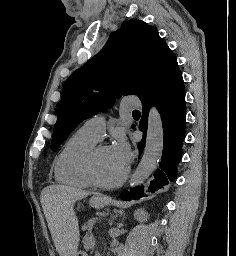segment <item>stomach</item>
I'll list each match as a JSON object with an SVG mask.
<instances>
[{"label":"stomach","mask_w":236,"mask_h":256,"mask_svg":"<svg viewBox=\"0 0 236 256\" xmlns=\"http://www.w3.org/2000/svg\"><path fill=\"white\" fill-rule=\"evenodd\" d=\"M104 204H105V201L103 200L92 199L90 201V205L97 209L104 207ZM75 256H87V254L83 251H80V252H77Z\"/></svg>","instance_id":"1"}]
</instances>
